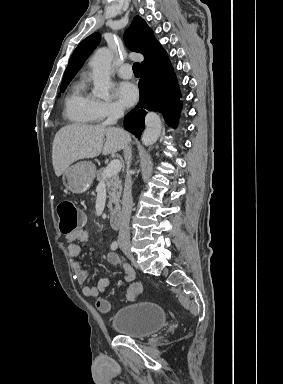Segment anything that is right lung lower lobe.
<instances>
[{"mask_svg":"<svg viewBox=\"0 0 283 384\" xmlns=\"http://www.w3.org/2000/svg\"><path fill=\"white\" fill-rule=\"evenodd\" d=\"M138 86L140 100L136 109L125 116L124 128L140 139L146 110L161 112L166 122L175 127L182 102L179 100L180 92L170 62L157 70L141 72Z\"/></svg>","mask_w":283,"mask_h":384,"instance_id":"obj_1","label":"right lung lower lobe"}]
</instances>
